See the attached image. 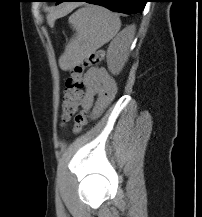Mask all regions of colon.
Masks as SVG:
<instances>
[{
	"instance_id": "obj_1",
	"label": "colon",
	"mask_w": 202,
	"mask_h": 217,
	"mask_svg": "<svg viewBox=\"0 0 202 217\" xmlns=\"http://www.w3.org/2000/svg\"><path fill=\"white\" fill-rule=\"evenodd\" d=\"M104 57L105 54L102 50L91 53L82 62L72 68L70 76L66 80L61 108V121L63 124L67 123L75 116L73 131L76 134L83 130L88 119V113L86 111L77 113L82 96V88L84 86L82 79L84 69L87 66L102 62Z\"/></svg>"
}]
</instances>
